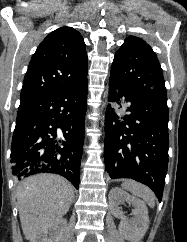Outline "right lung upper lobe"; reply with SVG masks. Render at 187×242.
I'll use <instances>...</instances> for the list:
<instances>
[{"instance_id": "right-lung-upper-lobe-1", "label": "right lung upper lobe", "mask_w": 187, "mask_h": 242, "mask_svg": "<svg viewBox=\"0 0 187 242\" xmlns=\"http://www.w3.org/2000/svg\"><path fill=\"white\" fill-rule=\"evenodd\" d=\"M83 37L71 27L50 33L34 53L26 72L20 102L41 97L87 79Z\"/></svg>"}]
</instances>
